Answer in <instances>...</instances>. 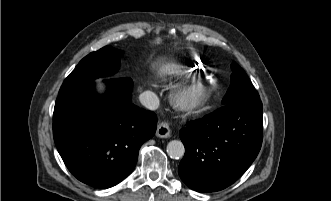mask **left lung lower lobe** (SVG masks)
I'll return each instance as SVG.
<instances>
[{
    "label": "left lung lower lobe",
    "instance_id": "1",
    "mask_svg": "<svg viewBox=\"0 0 331 201\" xmlns=\"http://www.w3.org/2000/svg\"><path fill=\"white\" fill-rule=\"evenodd\" d=\"M259 99L227 104L188 122L179 136L185 146L178 173L191 189L215 192L233 184L252 164L262 144Z\"/></svg>",
    "mask_w": 331,
    "mask_h": 201
}]
</instances>
